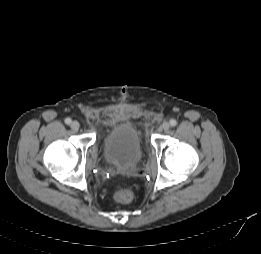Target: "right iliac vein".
I'll return each mask as SVG.
<instances>
[{"label":"right iliac vein","instance_id":"right-iliac-vein-1","mask_svg":"<svg viewBox=\"0 0 261 254\" xmlns=\"http://www.w3.org/2000/svg\"><path fill=\"white\" fill-rule=\"evenodd\" d=\"M70 127H71V129H72L73 131H78L79 128H80V124H79L78 121H73V122L71 123Z\"/></svg>","mask_w":261,"mask_h":254}]
</instances>
